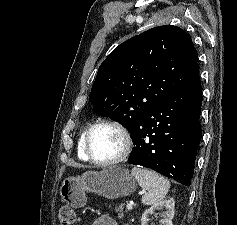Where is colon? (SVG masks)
<instances>
[{
  "mask_svg": "<svg viewBox=\"0 0 237 225\" xmlns=\"http://www.w3.org/2000/svg\"><path fill=\"white\" fill-rule=\"evenodd\" d=\"M77 221L75 211L71 207L64 206L59 211L60 225H74Z\"/></svg>",
  "mask_w": 237,
  "mask_h": 225,
  "instance_id": "obj_1",
  "label": "colon"
}]
</instances>
